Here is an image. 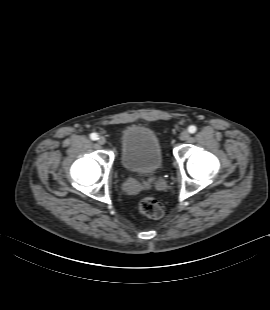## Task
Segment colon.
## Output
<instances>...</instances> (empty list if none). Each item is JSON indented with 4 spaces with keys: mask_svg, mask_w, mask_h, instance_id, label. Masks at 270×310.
Wrapping results in <instances>:
<instances>
[{
    "mask_svg": "<svg viewBox=\"0 0 270 310\" xmlns=\"http://www.w3.org/2000/svg\"><path fill=\"white\" fill-rule=\"evenodd\" d=\"M139 210L142 214L150 218H160L164 214L163 204L154 197H145L139 203Z\"/></svg>",
    "mask_w": 270,
    "mask_h": 310,
    "instance_id": "5ec220e1",
    "label": "colon"
}]
</instances>
